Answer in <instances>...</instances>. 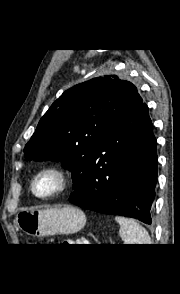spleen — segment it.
<instances>
[{
  "label": "spleen",
  "mask_w": 180,
  "mask_h": 294,
  "mask_svg": "<svg viewBox=\"0 0 180 294\" xmlns=\"http://www.w3.org/2000/svg\"><path fill=\"white\" fill-rule=\"evenodd\" d=\"M115 220L120 225L119 235L124 244H150L148 232L137 221L121 216H116Z\"/></svg>",
  "instance_id": "obj_1"
}]
</instances>
